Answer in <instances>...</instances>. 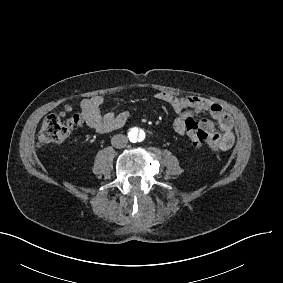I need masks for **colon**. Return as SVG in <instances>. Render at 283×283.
Listing matches in <instances>:
<instances>
[{
	"instance_id": "colon-1",
	"label": "colon",
	"mask_w": 283,
	"mask_h": 283,
	"mask_svg": "<svg viewBox=\"0 0 283 283\" xmlns=\"http://www.w3.org/2000/svg\"><path fill=\"white\" fill-rule=\"evenodd\" d=\"M82 124L81 115L72 108H65L58 114L47 116L38 134V146L63 142L70 137L73 129L81 127ZM185 125L187 135L192 138V145L199 147L201 142L207 138V132L199 126V122L195 121L192 116L187 117Z\"/></svg>"
}]
</instances>
